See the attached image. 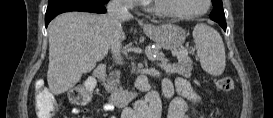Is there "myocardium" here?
I'll return each mask as SVG.
<instances>
[{"label":"myocardium","instance_id":"obj_1","mask_svg":"<svg viewBox=\"0 0 273 118\" xmlns=\"http://www.w3.org/2000/svg\"><path fill=\"white\" fill-rule=\"evenodd\" d=\"M152 12H154L157 15H162L166 17H172V18H180V19H191L195 18L201 15H204L208 12L210 8L211 1L210 0H204L205 7L196 12L192 13H180L177 11H173L170 9H167V5L164 0H152Z\"/></svg>","mask_w":273,"mask_h":118}]
</instances>
